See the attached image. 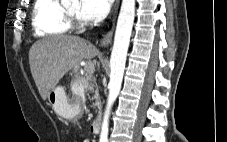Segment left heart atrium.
Segmentation results:
<instances>
[{
	"label": "left heart atrium",
	"instance_id": "obj_1",
	"mask_svg": "<svg viewBox=\"0 0 227 142\" xmlns=\"http://www.w3.org/2000/svg\"><path fill=\"white\" fill-rule=\"evenodd\" d=\"M113 0H80L79 13L86 20L99 21L108 14Z\"/></svg>",
	"mask_w": 227,
	"mask_h": 142
}]
</instances>
